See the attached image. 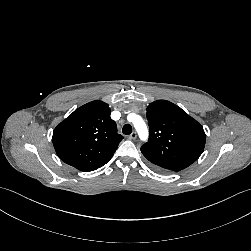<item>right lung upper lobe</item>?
I'll return each mask as SVG.
<instances>
[{"mask_svg":"<svg viewBox=\"0 0 251 251\" xmlns=\"http://www.w3.org/2000/svg\"><path fill=\"white\" fill-rule=\"evenodd\" d=\"M109 105L92 101L63 120L53 132V145L59 158L84 172L105 165L123 136L110 117Z\"/></svg>","mask_w":251,"mask_h":251,"instance_id":"right-lung-upper-lobe-1","label":"right lung upper lobe"}]
</instances>
